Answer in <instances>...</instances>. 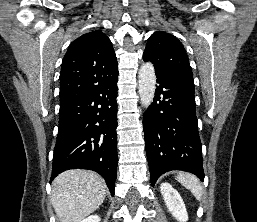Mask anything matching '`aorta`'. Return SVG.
<instances>
[{
    "label": "aorta",
    "mask_w": 257,
    "mask_h": 222,
    "mask_svg": "<svg viewBox=\"0 0 257 222\" xmlns=\"http://www.w3.org/2000/svg\"><path fill=\"white\" fill-rule=\"evenodd\" d=\"M138 79L140 103L147 108L153 101L156 85L155 69L152 63H143L139 70Z\"/></svg>",
    "instance_id": "obj_1"
}]
</instances>
